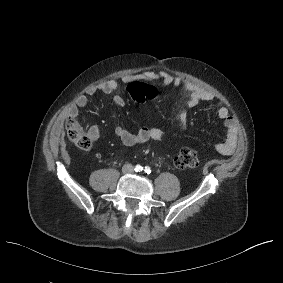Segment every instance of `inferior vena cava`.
<instances>
[{"mask_svg":"<svg viewBox=\"0 0 283 283\" xmlns=\"http://www.w3.org/2000/svg\"><path fill=\"white\" fill-rule=\"evenodd\" d=\"M126 166L132 167V170H133V166H132L131 164H126V165H124V167H126Z\"/></svg>","mask_w":283,"mask_h":283,"instance_id":"602c4592","label":"inferior vena cava"}]
</instances>
